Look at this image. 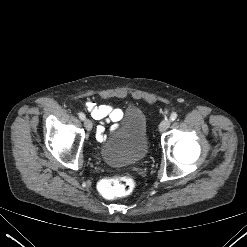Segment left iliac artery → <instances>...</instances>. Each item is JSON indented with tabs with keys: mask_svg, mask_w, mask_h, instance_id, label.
<instances>
[{
	"mask_svg": "<svg viewBox=\"0 0 247 247\" xmlns=\"http://www.w3.org/2000/svg\"><path fill=\"white\" fill-rule=\"evenodd\" d=\"M177 119V113L176 112H173L170 116V120L171 121H175Z\"/></svg>",
	"mask_w": 247,
	"mask_h": 247,
	"instance_id": "44dca946",
	"label": "left iliac artery"
}]
</instances>
